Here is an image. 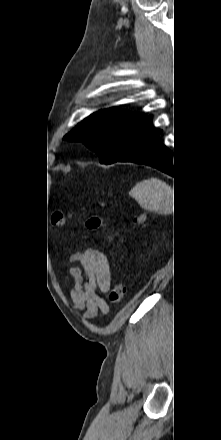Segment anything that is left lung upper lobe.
Masks as SVG:
<instances>
[{
  "instance_id": "5c2ea615",
  "label": "left lung upper lobe",
  "mask_w": 221,
  "mask_h": 440,
  "mask_svg": "<svg viewBox=\"0 0 221 440\" xmlns=\"http://www.w3.org/2000/svg\"><path fill=\"white\" fill-rule=\"evenodd\" d=\"M145 115L120 110L102 109L87 117L64 140L83 142L99 156L100 163L111 164L125 153L131 136Z\"/></svg>"
}]
</instances>
